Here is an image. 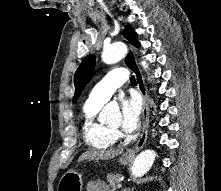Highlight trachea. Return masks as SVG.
I'll return each mask as SVG.
<instances>
[{
    "label": "trachea",
    "mask_w": 221,
    "mask_h": 191,
    "mask_svg": "<svg viewBox=\"0 0 221 191\" xmlns=\"http://www.w3.org/2000/svg\"><path fill=\"white\" fill-rule=\"evenodd\" d=\"M130 81L132 84H136V79L134 76H131Z\"/></svg>",
    "instance_id": "3493384b"
}]
</instances>
